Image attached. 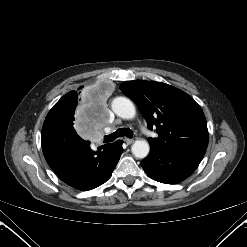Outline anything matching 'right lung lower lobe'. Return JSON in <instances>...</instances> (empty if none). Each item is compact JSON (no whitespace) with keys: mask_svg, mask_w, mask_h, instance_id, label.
Returning a JSON list of instances; mask_svg holds the SVG:
<instances>
[{"mask_svg":"<svg viewBox=\"0 0 247 247\" xmlns=\"http://www.w3.org/2000/svg\"><path fill=\"white\" fill-rule=\"evenodd\" d=\"M44 157L69 186L87 191L106 182L122 154V140L93 151L90 142L79 137L73 126L56 120L45 119L42 128Z\"/></svg>","mask_w":247,"mask_h":247,"instance_id":"obj_1","label":"right lung lower lobe"}]
</instances>
